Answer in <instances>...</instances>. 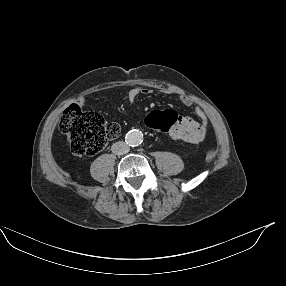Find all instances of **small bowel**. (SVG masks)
<instances>
[{
	"label": "small bowel",
	"instance_id": "c3829d8e",
	"mask_svg": "<svg viewBox=\"0 0 286 286\" xmlns=\"http://www.w3.org/2000/svg\"><path fill=\"white\" fill-rule=\"evenodd\" d=\"M151 90L141 86H133L127 92V100L134 103L141 94H150ZM186 105L191 104L189 97H183ZM196 114L200 122H196L188 117H182L181 121L175 124L169 131L170 136L174 140L182 141L189 144H197L204 140L206 135V127L208 125V117L204 110L197 109Z\"/></svg>",
	"mask_w": 286,
	"mask_h": 286
}]
</instances>
